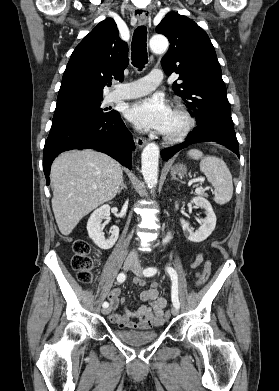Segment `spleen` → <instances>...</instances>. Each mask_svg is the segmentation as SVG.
I'll return each mask as SVG.
<instances>
[{"instance_id": "3e777b00", "label": "spleen", "mask_w": 279, "mask_h": 391, "mask_svg": "<svg viewBox=\"0 0 279 391\" xmlns=\"http://www.w3.org/2000/svg\"><path fill=\"white\" fill-rule=\"evenodd\" d=\"M192 159H200V170L214 186V200L223 205L229 202L233 195L232 175L225 162L215 156H204L198 149L188 151Z\"/></svg>"}]
</instances>
